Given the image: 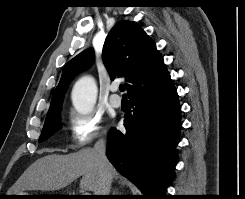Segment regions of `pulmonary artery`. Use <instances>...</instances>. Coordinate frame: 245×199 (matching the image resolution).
<instances>
[{
    "label": "pulmonary artery",
    "mask_w": 245,
    "mask_h": 199,
    "mask_svg": "<svg viewBox=\"0 0 245 199\" xmlns=\"http://www.w3.org/2000/svg\"><path fill=\"white\" fill-rule=\"evenodd\" d=\"M110 91H111V96H110V104L114 107V108H119L122 105V100L121 97L117 94L118 91V85L117 84H112L110 87Z\"/></svg>",
    "instance_id": "pulmonary-artery-1"
}]
</instances>
